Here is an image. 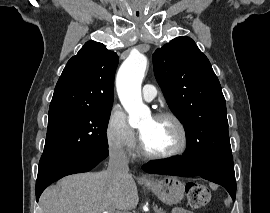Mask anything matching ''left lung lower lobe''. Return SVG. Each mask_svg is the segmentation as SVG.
<instances>
[{"instance_id": "obj_1", "label": "left lung lower lobe", "mask_w": 270, "mask_h": 213, "mask_svg": "<svg viewBox=\"0 0 270 213\" xmlns=\"http://www.w3.org/2000/svg\"><path fill=\"white\" fill-rule=\"evenodd\" d=\"M144 171L183 177L200 176L223 186L235 201L236 180L233 161L216 164L201 163L195 154V150L188 142L187 151L182 156L149 162L145 165Z\"/></svg>"}]
</instances>
